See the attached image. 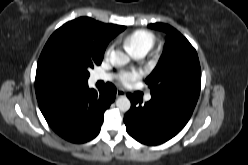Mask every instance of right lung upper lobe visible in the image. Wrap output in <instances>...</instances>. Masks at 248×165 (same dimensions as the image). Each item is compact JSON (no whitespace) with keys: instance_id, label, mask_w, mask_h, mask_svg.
Listing matches in <instances>:
<instances>
[{"instance_id":"cb5924a9","label":"right lung upper lobe","mask_w":248,"mask_h":165,"mask_svg":"<svg viewBox=\"0 0 248 165\" xmlns=\"http://www.w3.org/2000/svg\"><path fill=\"white\" fill-rule=\"evenodd\" d=\"M124 29L125 26L104 24L89 17H80L67 22L56 32L69 33L89 44L95 52L104 53L109 41ZM86 86L88 84L64 82L37 65L35 90L38 102L53 96L77 92Z\"/></svg>"}]
</instances>
